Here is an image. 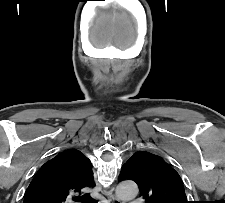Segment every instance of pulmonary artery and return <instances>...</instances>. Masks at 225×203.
Listing matches in <instances>:
<instances>
[{"label":"pulmonary artery","instance_id":"1","mask_svg":"<svg viewBox=\"0 0 225 203\" xmlns=\"http://www.w3.org/2000/svg\"><path fill=\"white\" fill-rule=\"evenodd\" d=\"M131 203H143V201L142 200H133V201H131Z\"/></svg>","mask_w":225,"mask_h":203}]
</instances>
